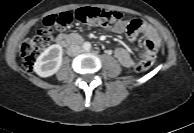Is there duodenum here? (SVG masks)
Wrapping results in <instances>:
<instances>
[{
	"label": "duodenum",
	"instance_id": "410a0bca",
	"mask_svg": "<svg viewBox=\"0 0 194 133\" xmlns=\"http://www.w3.org/2000/svg\"><path fill=\"white\" fill-rule=\"evenodd\" d=\"M82 38L76 35L60 34L56 37L55 42L62 47H71L82 43Z\"/></svg>",
	"mask_w": 194,
	"mask_h": 133
}]
</instances>
